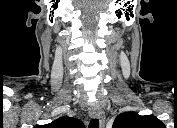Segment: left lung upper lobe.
Instances as JSON below:
<instances>
[{
    "mask_svg": "<svg viewBox=\"0 0 177 128\" xmlns=\"http://www.w3.org/2000/svg\"><path fill=\"white\" fill-rule=\"evenodd\" d=\"M163 123L155 116H140L135 112L118 115L112 128H161Z\"/></svg>",
    "mask_w": 177,
    "mask_h": 128,
    "instance_id": "left-lung-upper-lobe-1",
    "label": "left lung upper lobe"
}]
</instances>
